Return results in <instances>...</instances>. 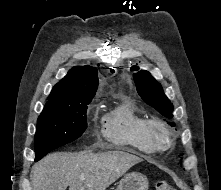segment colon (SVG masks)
Returning <instances> with one entry per match:
<instances>
[{
	"instance_id": "1",
	"label": "colon",
	"mask_w": 221,
	"mask_h": 190,
	"mask_svg": "<svg viewBox=\"0 0 221 190\" xmlns=\"http://www.w3.org/2000/svg\"><path fill=\"white\" fill-rule=\"evenodd\" d=\"M155 190H176L173 186H171L168 182L164 180H159L155 184Z\"/></svg>"
}]
</instances>
